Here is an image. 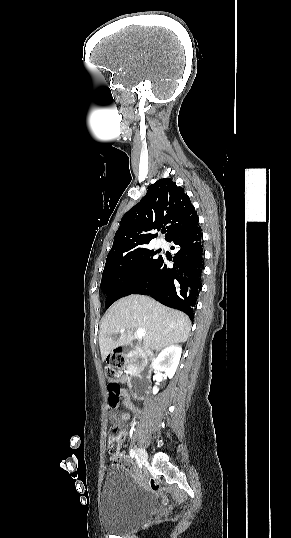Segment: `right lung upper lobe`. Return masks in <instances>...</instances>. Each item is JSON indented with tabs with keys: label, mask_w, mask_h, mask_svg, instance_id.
<instances>
[{
	"label": "right lung upper lobe",
	"mask_w": 291,
	"mask_h": 538,
	"mask_svg": "<svg viewBox=\"0 0 291 538\" xmlns=\"http://www.w3.org/2000/svg\"><path fill=\"white\" fill-rule=\"evenodd\" d=\"M197 221V212L183 188L177 187L172 179H160L122 217L107 259L147 248L156 237L151 233L155 229L166 227L168 240Z\"/></svg>",
	"instance_id": "1"
}]
</instances>
